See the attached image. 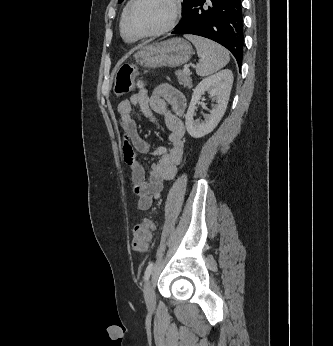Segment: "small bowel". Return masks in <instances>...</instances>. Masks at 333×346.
Masks as SVG:
<instances>
[{"instance_id": "1", "label": "small bowel", "mask_w": 333, "mask_h": 346, "mask_svg": "<svg viewBox=\"0 0 333 346\" xmlns=\"http://www.w3.org/2000/svg\"><path fill=\"white\" fill-rule=\"evenodd\" d=\"M186 106L185 96L167 82L158 85L151 96L146 91L140 90L118 105L124 135V159L130 168V183L133 192L138 196L139 210L149 209L160 198L164 183L175 176L177 166L182 161L185 127L181 117L185 113ZM134 107H139L143 114L153 121H155L154 114L161 115L169 131V149L157 147L153 154L158 161L152 163L148 170H145L137 154L147 153L151 145L139 135L137 122L132 115Z\"/></svg>"}]
</instances>
